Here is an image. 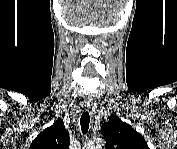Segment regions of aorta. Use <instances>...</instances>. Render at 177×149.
<instances>
[{
    "label": "aorta",
    "instance_id": "762f6f07",
    "mask_svg": "<svg viewBox=\"0 0 177 149\" xmlns=\"http://www.w3.org/2000/svg\"><path fill=\"white\" fill-rule=\"evenodd\" d=\"M104 146V142L101 138H96L89 142L86 146V149H102Z\"/></svg>",
    "mask_w": 177,
    "mask_h": 149
}]
</instances>
